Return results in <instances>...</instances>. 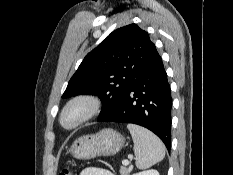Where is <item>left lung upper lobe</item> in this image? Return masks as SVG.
Segmentation results:
<instances>
[{"instance_id":"obj_1","label":"left lung upper lobe","mask_w":233,"mask_h":175,"mask_svg":"<svg viewBox=\"0 0 233 175\" xmlns=\"http://www.w3.org/2000/svg\"><path fill=\"white\" fill-rule=\"evenodd\" d=\"M155 50L148 33L135 24L113 31L86 55L62 97L98 95L102 101L101 120L118 106Z\"/></svg>"}]
</instances>
